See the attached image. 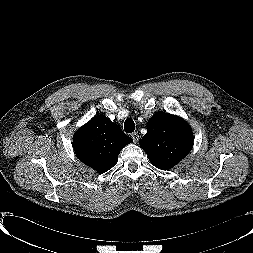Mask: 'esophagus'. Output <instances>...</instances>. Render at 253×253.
I'll use <instances>...</instances> for the list:
<instances>
[{
  "mask_svg": "<svg viewBox=\"0 0 253 253\" xmlns=\"http://www.w3.org/2000/svg\"><path fill=\"white\" fill-rule=\"evenodd\" d=\"M131 137H132L134 143H137V142L139 141V135H138L137 132H133V133L131 134Z\"/></svg>",
  "mask_w": 253,
  "mask_h": 253,
  "instance_id": "esophagus-1",
  "label": "esophagus"
}]
</instances>
